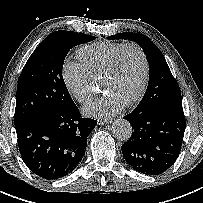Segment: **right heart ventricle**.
I'll use <instances>...</instances> for the list:
<instances>
[{
    "mask_svg": "<svg viewBox=\"0 0 203 203\" xmlns=\"http://www.w3.org/2000/svg\"><path fill=\"white\" fill-rule=\"evenodd\" d=\"M123 42L100 41L87 44L77 51L78 59L90 75L97 79Z\"/></svg>",
    "mask_w": 203,
    "mask_h": 203,
    "instance_id": "1",
    "label": "right heart ventricle"
}]
</instances>
